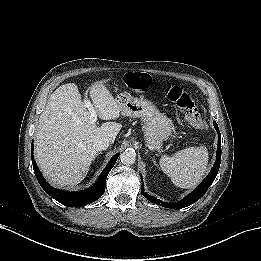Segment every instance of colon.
Here are the masks:
<instances>
[{"mask_svg": "<svg viewBox=\"0 0 261 261\" xmlns=\"http://www.w3.org/2000/svg\"><path fill=\"white\" fill-rule=\"evenodd\" d=\"M128 85L136 91H145L152 85L151 77L146 73H131L127 76ZM165 97L181 109L186 118L196 127L204 126V119L198 112L190 93L177 85H170L164 90Z\"/></svg>", "mask_w": 261, "mask_h": 261, "instance_id": "colon-1", "label": "colon"}]
</instances>
